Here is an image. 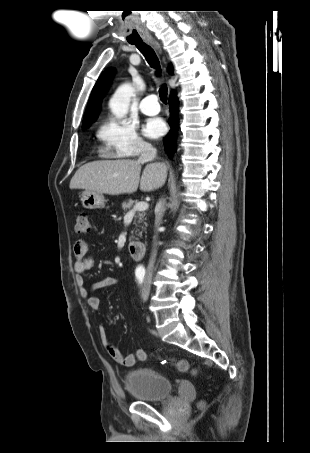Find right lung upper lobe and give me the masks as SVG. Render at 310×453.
I'll list each match as a JSON object with an SVG mask.
<instances>
[{
    "label": "right lung upper lobe",
    "instance_id": "obj_1",
    "mask_svg": "<svg viewBox=\"0 0 310 453\" xmlns=\"http://www.w3.org/2000/svg\"><path fill=\"white\" fill-rule=\"evenodd\" d=\"M169 70L170 72H172V68H170ZM113 71H114L113 68H108L98 78L95 86L93 87V90L88 101V105L83 119V125H87L95 121V119L97 118L100 110L101 101L105 93L107 92L111 77L113 75Z\"/></svg>",
    "mask_w": 310,
    "mask_h": 453
}]
</instances>
